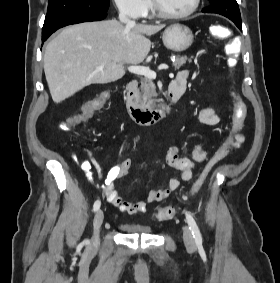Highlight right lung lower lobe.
Here are the masks:
<instances>
[{"label":"right lung lower lobe","instance_id":"1","mask_svg":"<svg viewBox=\"0 0 280 283\" xmlns=\"http://www.w3.org/2000/svg\"><path fill=\"white\" fill-rule=\"evenodd\" d=\"M106 16L107 14H103V15L63 14L45 19L42 30V42L46 41L47 38L59 28L76 23L103 20Z\"/></svg>","mask_w":280,"mask_h":283}]
</instances>
